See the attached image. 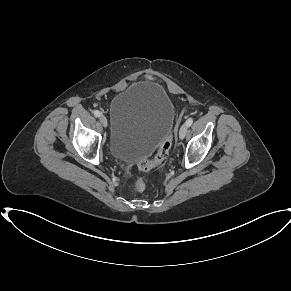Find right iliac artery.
Returning <instances> with one entry per match:
<instances>
[{
    "mask_svg": "<svg viewBox=\"0 0 291 291\" xmlns=\"http://www.w3.org/2000/svg\"><path fill=\"white\" fill-rule=\"evenodd\" d=\"M93 114H94L96 117H100V116H101V113H100L98 110H94V111H93Z\"/></svg>",
    "mask_w": 291,
    "mask_h": 291,
    "instance_id": "82829eb1",
    "label": "right iliac artery"
}]
</instances>
